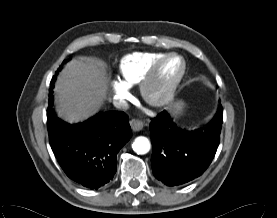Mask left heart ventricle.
<instances>
[{"instance_id":"obj_1","label":"left heart ventricle","mask_w":277,"mask_h":218,"mask_svg":"<svg viewBox=\"0 0 277 218\" xmlns=\"http://www.w3.org/2000/svg\"><path fill=\"white\" fill-rule=\"evenodd\" d=\"M179 71V60L172 58L165 61L159 69L153 90L159 92L164 89Z\"/></svg>"}]
</instances>
